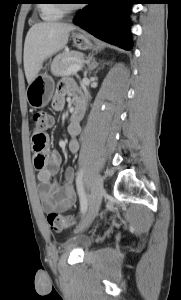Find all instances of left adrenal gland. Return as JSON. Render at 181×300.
I'll use <instances>...</instances> for the list:
<instances>
[{
  "label": "left adrenal gland",
  "mask_w": 181,
  "mask_h": 300,
  "mask_svg": "<svg viewBox=\"0 0 181 300\" xmlns=\"http://www.w3.org/2000/svg\"><path fill=\"white\" fill-rule=\"evenodd\" d=\"M92 65H93V62L91 64H89V69H91Z\"/></svg>",
  "instance_id": "a2214340"
}]
</instances>
